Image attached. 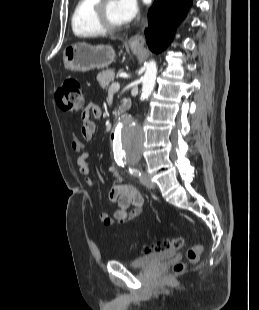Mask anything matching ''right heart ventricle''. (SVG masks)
<instances>
[{
    "mask_svg": "<svg viewBox=\"0 0 259 310\" xmlns=\"http://www.w3.org/2000/svg\"><path fill=\"white\" fill-rule=\"evenodd\" d=\"M97 0H78L71 19L72 30L78 37H96L103 32L93 19V7Z\"/></svg>",
    "mask_w": 259,
    "mask_h": 310,
    "instance_id": "obj_1",
    "label": "right heart ventricle"
}]
</instances>
